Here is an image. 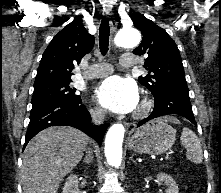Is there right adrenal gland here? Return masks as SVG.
Listing matches in <instances>:
<instances>
[{
  "label": "right adrenal gland",
  "mask_w": 221,
  "mask_h": 193,
  "mask_svg": "<svg viewBox=\"0 0 221 193\" xmlns=\"http://www.w3.org/2000/svg\"><path fill=\"white\" fill-rule=\"evenodd\" d=\"M86 153H87V155L83 159V163L87 164V165H90L93 162V156H92L89 148H87Z\"/></svg>",
  "instance_id": "2a0ac1e0"
}]
</instances>
